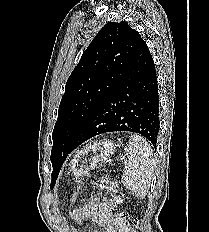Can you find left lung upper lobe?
Segmentation results:
<instances>
[{
    "label": "left lung upper lobe",
    "instance_id": "1",
    "mask_svg": "<svg viewBox=\"0 0 209 232\" xmlns=\"http://www.w3.org/2000/svg\"><path fill=\"white\" fill-rule=\"evenodd\" d=\"M141 39L127 22H108L84 51L66 82L52 133V183L71 153L77 132L121 81Z\"/></svg>",
    "mask_w": 209,
    "mask_h": 232
}]
</instances>
